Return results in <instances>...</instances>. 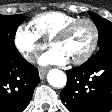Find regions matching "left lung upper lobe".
I'll return each instance as SVG.
<instances>
[{
	"instance_id": "1",
	"label": "left lung upper lobe",
	"mask_w": 112,
	"mask_h": 112,
	"mask_svg": "<svg viewBox=\"0 0 112 112\" xmlns=\"http://www.w3.org/2000/svg\"><path fill=\"white\" fill-rule=\"evenodd\" d=\"M88 13L91 19L96 24L99 33L98 38L99 50L96 53V55L107 50H112V22L102 18L98 14L93 13L91 11H89Z\"/></svg>"
}]
</instances>
